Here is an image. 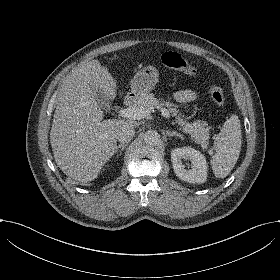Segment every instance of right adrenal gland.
<instances>
[{"label": "right adrenal gland", "mask_w": 280, "mask_h": 280, "mask_svg": "<svg viewBox=\"0 0 280 280\" xmlns=\"http://www.w3.org/2000/svg\"><path fill=\"white\" fill-rule=\"evenodd\" d=\"M127 146V143H121L120 145L116 146L115 147V150H114V154H116L118 152L119 149L120 150V155L122 154V151L125 149V147Z\"/></svg>", "instance_id": "1"}]
</instances>
